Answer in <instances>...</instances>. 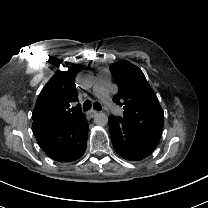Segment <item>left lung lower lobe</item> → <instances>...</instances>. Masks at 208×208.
<instances>
[{"label": "left lung lower lobe", "instance_id": "1", "mask_svg": "<svg viewBox=\"0 0 208 208\" xmlns=\"http://www.w3.org/2000/svg\"><path fill=\"white\" fill-rule=\"evenodd\" d=\"M109 131L117 154L128 161H140L148 157L157 147L155 143L139 134L122 118L110 116Z\"/></svg>", "mask_w": 208, "mask_h": 208}]
</instances>
